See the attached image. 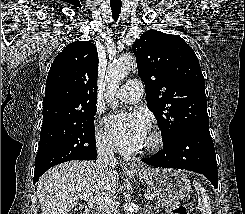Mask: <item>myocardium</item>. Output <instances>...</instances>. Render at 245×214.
I'll list each match as a JSON object with an SVG mask.
<instances>
[{"mask_svg": "<svg viewBox=\"0 0 245 214\" xmlns=\"http://www.w3.org/2000/svg\"><path fill=\"white\" fill-rule=\"evenodd\" d=\"M149 144L141 150L142 154H152L157 152L163 146V138L157 132H152L149 135Z\"/></svg>", "mask_w": 245, "mask_h": 214, "instance_id": "obj_1", "label": "myocardium"}]
</instances>
